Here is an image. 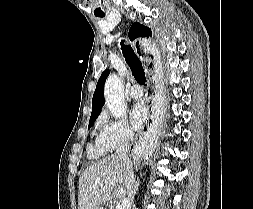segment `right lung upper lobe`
Masks as SVG:
<instances>
[{"mask_svg": "<svg viewBox=\"0 0 253 209\" xmlns=\"http://www.w3.org/2000/svg\"><path fill=\"white\" fill-rule=\"evenodd\" d=\"M149 36H151V29L140 23H134L129 30V39L131 41H133L137 37H149ZM109 73L110 71L108 69L105 70L97 82V86L92 99V113L90 120L96 119L98 117L101 108L105 104L104 83Z\"/></svg>", "mask_w": 253, "mask_h": 209, "instance_id": "1", "label": "right lung upper lobe"}]
</instances>
